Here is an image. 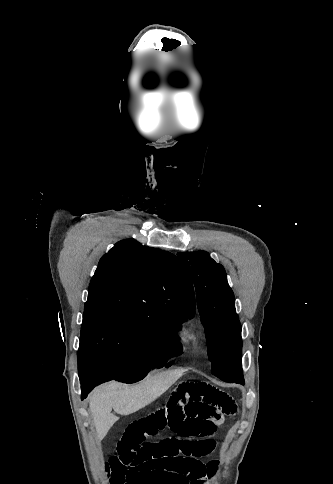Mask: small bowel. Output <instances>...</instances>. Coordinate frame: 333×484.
Wrapping results in <instances>:
<instances>
[{"instance_id":"c3829d8e","label":"small bowel","mask_w":333,"mask_h":484,"mask_svg":"<svg viewBox=\"0 0 333 484\" xmlns=\"http://www.w3.org/2000/svg\"><path fill=\"white\" fill-rule=\"evenodd\" d=\"M236 411L233 398L217 387L195 381L178 384L163 405L126 428L117 454L106 463L112 484H205L218 461L203 463L201 458L214 451L211 436ZM162 431L172 435L145 442Z\"/></svg>"}]
</instances>
